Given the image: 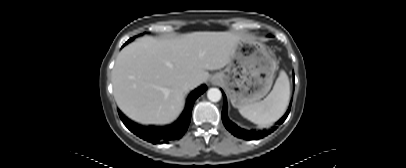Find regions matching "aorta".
Masks as SVG:
<instances>
[{"instance_id": "aorta-1", "label": "aorta", "mask_w": 406, "mask_h": 168, "mask_svg": "<svg viewBox=\"0 0 406 168\" xmlns=\"http://www.w3.org/2000/svg\"><path fill=\"white\" fill-rule=\"evenodd\" d=\"M221 96V91L218 88H210L207 92V97L212 102H218Z\"/></svg>"}]
</instances>
